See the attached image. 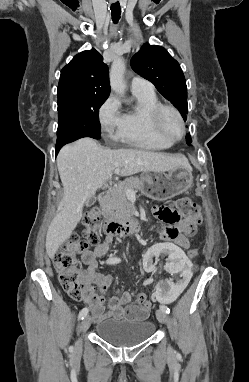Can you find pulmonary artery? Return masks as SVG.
<instances>
[{"instance_id":"e3ab8cb5","label":"pulmonary artery","mask_w":249,"mask_h":382,"mask_svg":"<svg viewBox=\"0 0 249 382\" xmlns=\"http://www.w3.org/2000/svg\"><path fill=\"white\" fill-rule=\"evenodd\" d=\"M132 92L154 93V86L141 77H133L131 80Z\"/></svg>"}]
</instances>
